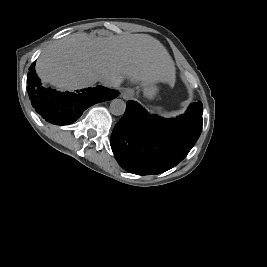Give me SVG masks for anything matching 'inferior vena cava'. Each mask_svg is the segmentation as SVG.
<instances>
[{
    "mask_svg": "<svg viewBox=\"0 0 267 267\" xmlns=\"http://www.w3.org/2000/svg\"><path fill=\"white\" fill-rule=\"evenodd\" d=\"M98 81L106 87H115L117 85L116 80L107 75L100 76Z\"/></svg>",
    "mask_w": 267,
    "mask_h": 267,
    "instance_id": "obj_1",
    "label": "inferior vena cava"
}]
</instances>
